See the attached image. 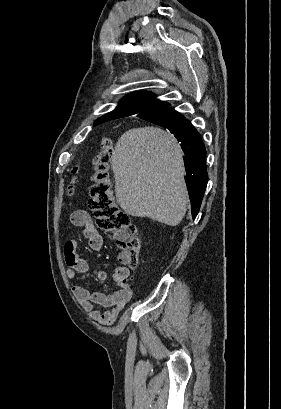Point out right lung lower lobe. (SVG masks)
<instances>
[{
  "mask_svg": "<svg viewBox=\"0 0 281 409\" xmlns=\"http://www.w3.org/2000/svg\"><path fill=\"white\" fill-rule=\"evenodd\" d=\"M138 117L150 120L152 118L172 116L180 119L167 126L176 139L181 142L182 150L186 159L184 160L185 170L188 181V192L191 201L193 219L197 216L206 185L208 182V174L206 171V150L200 134L192 126L191 122L184 119L172 107H164L152 111L143 112L137 115Z\"/></svg>",
  "mask_w": 281,
  "mask_h": 409,
  "instance_id": "right-lung-lower-lobe-1",
  "label": "right lung lower lobe"
}]
</instances>
